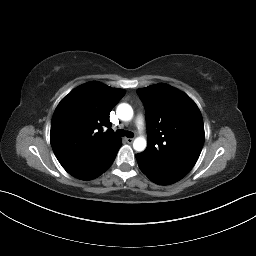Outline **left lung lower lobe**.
<instances>
[{"instance_id": "left-lung-lower-lobe-1", "label": "left lung lower lobe", "mask_w": 256, "mask_h": 256, "mask_svg": "<svg viewBox=\"0 0 256 256\" xmlns=\"http://www.w3.org/2000/svg\"><path fill=\"white\" fill-rule=\"evenodd\" d=\"M136 159L141 171L154 183L160 185H169L183 178L154 167L145 159L142 153L136 154Z\"/></svg>"}]
</instances>
